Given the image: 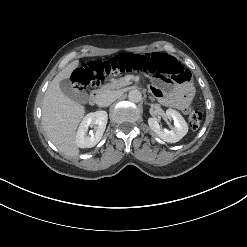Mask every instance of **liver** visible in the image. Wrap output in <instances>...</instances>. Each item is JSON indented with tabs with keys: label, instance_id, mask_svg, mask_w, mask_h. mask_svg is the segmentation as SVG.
<instances>
[{
	"label": "liver",
	"instance_id": "1",
	"mask_svg": "<svg viewBox=\"0 0 247 247\" xmlns=\"http://www.w3.org/2000/svg\"><path fill=\"white\" fill-rule=\"evenodd\" d=\"M78 64V60L71 62L54 77L42 105V124L48 138L60 152L71 157L78 156L80 152L76 145V130L85 108L65 96L59 82L68 79Z\"/></svg>",
	"mask_w": 247,
	"mask_h": 247
}]
</instances>
